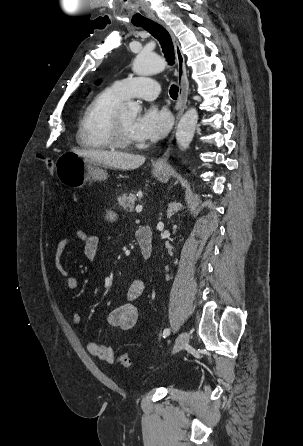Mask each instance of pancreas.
Wrapping results in <instances>:
<instances>
[{
  "instance_id": "pancreas-1",
  "label": "pancreas",
  "mask_w": 303,
  "mask_h": 446,
  "mask_svg": "<svg viewBox=\"0 0 303 446\" xmlns=\"http://www.w3.org/2000/svg\"><path fill=\"white\" fill-rule=\"evenodd\" d=\"M117 201L124 210L132 212L137 198L134 193H128L119 196Z\"/></svg>"
}]
</instances>
